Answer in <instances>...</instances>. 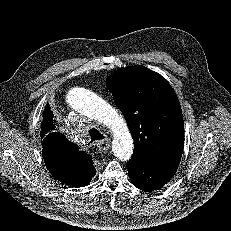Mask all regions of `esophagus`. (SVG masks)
<instances>
[{
	"label": "esophagus",
	"mask_w": 231,
	"mask_h": 231,
	"mask_svg": "<svg viewBox=\"0 0 231 231\" xmlns=\"http://www.w3.org/2000/svg\"><path fill=\"white\" fill-rule=\"evenodd\" d=\"M110 147V142L108 140H101L97 143V151L99 153H105Z\"/></svg>",
	"instance_id": "esophagus-1"
}]
</instances>
